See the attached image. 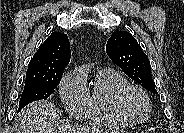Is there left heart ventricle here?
<instances>
[{"label": "left heart ventricle", "mask_w": 184, "mask_h": 133, "mask_svg": "<svg viewBox=\"0 0 184 133\" xmlns=\"http://www.w3.org/2000/svg\"><path fill=\"white\" fill-rule=\"evenodd\" d=\"M125 107L134 117H141L146 113V105L143 99L136 93H131L126 97Z\"/></svg>", "instance_id": "b2bd125f"}]
</instances>
